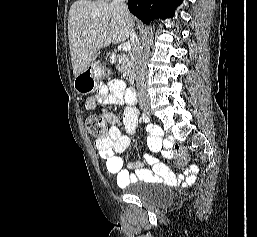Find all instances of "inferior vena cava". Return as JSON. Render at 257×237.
<instances>
[{
	"instance_id": "inferior-vena-cava-1",
	"label": "inferior vena cava",
	"mask_w": 257,
	"mask_h": 237,
	"mask_svg": "<svg viewBox=\"0 0 257 237\" xmlns=\"http://www.w3.org/2000/svg\"><path fill=\"white\" fill-rule=\"evenodd\" d=\"M126 0H113L112 4L123 9L127 10ZM130 38L133 44V54L135 58L136 65V85L138 90L139 103L144 104L150 100L149 94L146 88L147 81V66H146V54L143 51L141 43L133 29V26L130 29Z\"/></svg>"
}]
</instances>
